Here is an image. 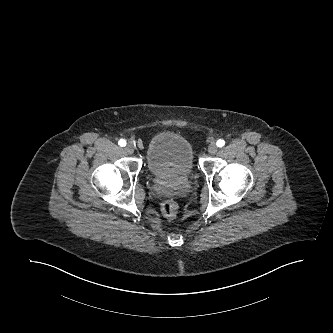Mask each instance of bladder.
I'll return each mask as SVG.
<instances>
[{
  "mask_svg": "<svg viewBox=\"0 0 333 333\" xmlns=\"http://www.w3.org/2000/svg\"><path fill=\"white\" fill-rule=\"evenodd\" d=\"M146 164L153 178H189L195 166L192 146L180 134L160 132L148 143Z\"/></svg>",
  "mask_w": 333,
  "mask_h": 333,
  "instance_id": "obj_1",
  "label": "bladder"
}]
</instances>
